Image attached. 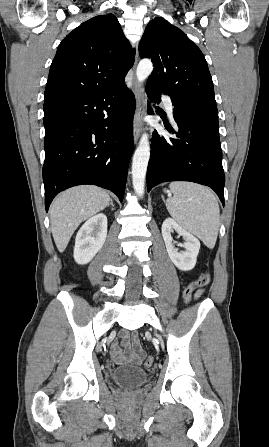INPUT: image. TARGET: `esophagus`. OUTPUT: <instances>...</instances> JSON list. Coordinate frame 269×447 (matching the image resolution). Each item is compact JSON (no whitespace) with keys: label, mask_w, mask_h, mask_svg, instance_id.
Instances as JSON below:
<instances>
[{"label":"esophagus","mask_w":269,"mask_h":447,"mask_svg":"<svg viewBox=\"0 0 269 447\" xmlns=\"http://www.w3.org/2000/svg\"><path fill=\"white\" fill-rule=\"evenodd\" d=\"M138 62V48L136 49V56H135V62L133 65V77H132V90L135 94L136 98V111L134 115V122H133V131H134V143L136 144L141 132H142V118L144 114V104L141 97V91L139 88V85L136 81L135 77V70Z\"/></svg>","instance_id":"esophagus-1"}]
</instances>
